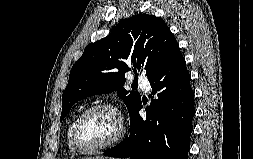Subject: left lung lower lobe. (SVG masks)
I'll return each instance as SVG.
<instances>
[{
  "label": "left lung lower lobe",
  "mask_w": 253,
  "mask_h": 159,
  "mask_svg": "<svg viewBox=\"0 0 253 159\" xmlns=\"http://www.w3.org/2000/svg\"><path fill=\"white\" fill-rule=\"evenodd\" d=\"M191 76L179 50L148 80L153 100L146 117L139 115L141 101L130 114V135L105 156L132 159H188L195 114Z\"/></svg>",
  "instance_id": "0a47b994"
}]
</instances>
